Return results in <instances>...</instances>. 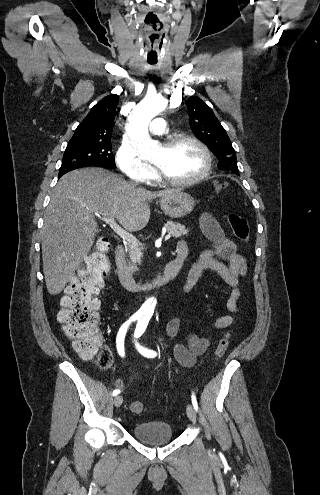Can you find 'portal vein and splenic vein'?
Wrapping results in <instances>:
<instances>
[{"label":"portal vein and splenic vein","instance_id":"18ae733b","mask_svg":"<svg viewBox=\"0 0 320 495\" xmlns=\"http://www.w3.org/2000/svg\"><path fill=\"white\" fill-rule=\"evenodd\" d=\"M98 218L102 219L103 221L107 222L110 227L113 229V231L119 235L123 240L127 241L128 244L136 246L139 244V241L129 232L125 231L123 228H121L116 222L114 217H101L99 214H95ZM171 237L170 234L166 235L165 239H169Z\"/></svg>","mask_w":320,"mask_h":495}]
</instances>
